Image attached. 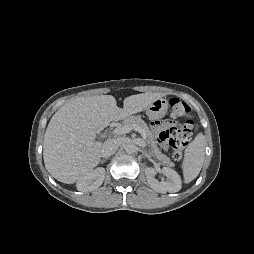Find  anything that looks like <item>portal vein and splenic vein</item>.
<instances>
[{
    "mask_svg": "<svg viewBox=\"0 0 254 254\" xmlns=\"http://www.w3.org/2000/svg\"><path fill=\"white\" fill-rule=\"evenodd\" d=\"M133 129L135 131L139 132L142 135V137L144 139H146L147 135H146L145 131L142 128H140L139 126L135 125V124L117 127V128L114 129L113 133L115 135H123V134L129 133Z\"/></svg>",
    "mask_w": 254,
    "mask_h": 254,
    "instance_id": "18ae733b",
    "label": "portal vein and splenic vein"
}]
</instances>
